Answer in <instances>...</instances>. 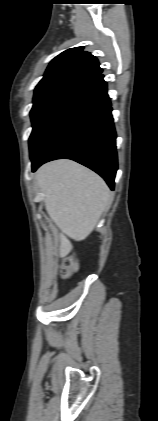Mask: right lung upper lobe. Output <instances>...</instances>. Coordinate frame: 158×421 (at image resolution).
I'll return each mask as SVG.
<instances>
[{
	"instance_id": "cb5924a9",
	"label": "right lung upper lobe",
	"mask_w": 158,
	"mask_h": 421,
	"mask_svg": "<svg viewBox=\"0 0 158 421\" xmlns=\"http://www.w3.org/2000/svg\"><path fill=\"white\" fill-rule=\"evenodd\" d=\"M101 72L95 56L83 52V47L70 48L50 62L35 91L65 83L81 86Z\"/></svg>"
}]
</instances>
